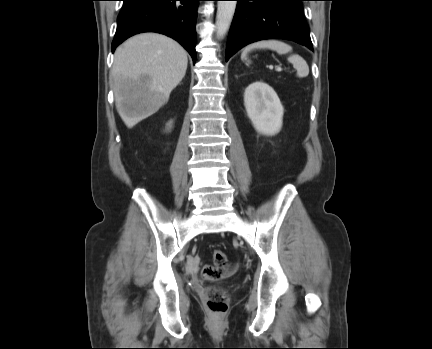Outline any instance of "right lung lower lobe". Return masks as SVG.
Instances as JSON below:
<instances>
[{
	"label": "right lung lower lobe",
	"instance_id": "98d812e1",
	"mask_svg": "<svg viewBox=\"0 0 432 349\" xmlns=\"http://www.w3.org/2000/svg\"><path fill=\"white\" fill-rule=\"evenodd\" d=\"M199 1L201 0H123L112 52L130 36L157 32L178 41L195 63V24Z\"/></svg>",
	"mask_w": 432,
	"mask_h": 349
}]
</instances>
